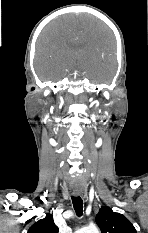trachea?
<instances>
[{"instance_id": "3493384b", "label": "trachea", "mask_w": 148, "mask_h": 233, "mask_svg": "<svg viewBox=\"0 0 148 233\" xmlns=\"http://www.w3.org/2000/svg\"><path fill=\"white\" fill-rule=\"evenodd\" d=\"M72 203L74 210L78 217L82 216L83 213V201L79 196H72Z\"/></svg>"}]
</instances>
